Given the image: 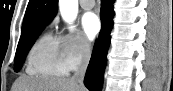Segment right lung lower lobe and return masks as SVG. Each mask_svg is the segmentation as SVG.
<instances>
[{
	"mask_svg": "<svg viewBox=\"0 0 173 91\" xmlns=\"http://www.w3.org/2000/svg\"><path fill=\"white\" fill-rule=\"evenodd\" d=\"M113 3L114 0H101L102 28L95 43L84 80L85 86L90 91H99L102 86L107 51L110 45V32L113 26Z\"/></svg>",
	"mask_w": 173,
	"mask_h": 91,
	"instance_id": "1",
	"label": "right lung lower lobe"
}]
</instances>
